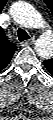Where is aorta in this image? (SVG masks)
I'll list each match as a JSON object with an SVG mask.
<instances>
[{
  "label": "aorta",
  "mask_w": 53,
  "mask_h": 120,
  "mask_svg": "<svg viewBox=\"0 0 53 120\" xmlns=\"http://www.w3.org/2000/svg\"><path fill=\"white\" fill-rule=\"evenodd\" d=\"M16 13L21 16L23 23L27 26L38 27L41 24V16L30 6L18 7ZM43 45L41 40L36 44V50L39 54H42L41 46Z\"/></svg>",
  "instance_id": "762f6f07"
}]
</instances>
